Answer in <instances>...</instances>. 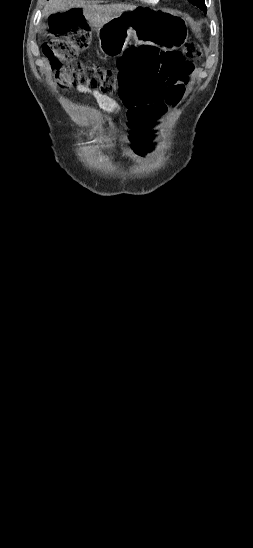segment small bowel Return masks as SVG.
Segmentation results:
<instances>
[{"label":"small bowel","instance_id":"obj_1","mask_svg":"<svg viewBox=\"0 0 253 548\" xmlns=\"http://www.w3.org/2000/svg\"><path fill=\"white\" fill-rule=\"evenodd\" d=\"M152 60H162L161 58H154ZM185 88V87H184ZM76 94H91L95 100L97 101L98 105L107 113L111 114V115H117L120 111H121V107L120 105L114 100L112 99L111 97H108L104 94H101L97 91H93V90H90L84 86H78L76 91H75ZM125 107L128 109L129 108V105H125ZM128 117H129V111H128ZM154 121H152L153 123ZM134 133L133 130L131 132H129L127 135H126V142L130 144L129 148L126 150V157L131 159V160H135V161H140L142 160L144 157H138L137 156V151L134 149L133 147V144L134 142H132L130 140V135ZM103 143L105 144V146L109 149V150H112L113 147H114V138L111 134H108L106 135L104 138H103ZM148 153H146V156H147ZM145 156V157H146Z\"/></svg>","mask_w":253,"mask_h":548}]
</instances>
